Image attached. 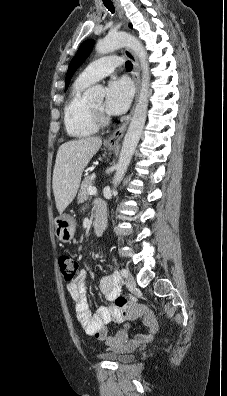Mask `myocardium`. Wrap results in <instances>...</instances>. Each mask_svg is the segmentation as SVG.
Here are the masks:
<instances>
[{
    "label": "myocardium",
    "instance_id": "myocardium-1",
    "mask_svg": "<svg viewBox=\"0 0 227 396\" xmlns=\"http://www.w3.org/2000/svg\"><path fill=\"white\" fill-rule=\"evenodd\" d=\"M90 108L98 125H106L109 122V118L104 114L102 109L96 108L92 104H90Z\"/></svg>",
    "mask_w": 227,
    "mask_h": 396
}]
</instances>
